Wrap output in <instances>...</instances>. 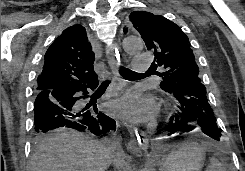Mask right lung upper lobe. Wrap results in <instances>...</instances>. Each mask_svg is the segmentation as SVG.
<instances>
[{
    "instance_id": "obj_1",
    "label": "right lung upper lobe",
    "mask_w": 245,
    "mask_h": 171,
    "mask_svg": "<svg viewBox=\"0 0 245 171\" xmlns=\"http://www.w3.org/2000/svg\"><path fill=\"white\" fill-rule=\"evenodd\" d=\"M44 60L37 92L98 82L93 68L94 52L82 25L65 29L50 45Z\"/></svg>"
}]
</instances>
